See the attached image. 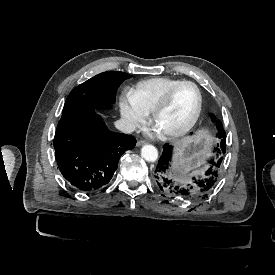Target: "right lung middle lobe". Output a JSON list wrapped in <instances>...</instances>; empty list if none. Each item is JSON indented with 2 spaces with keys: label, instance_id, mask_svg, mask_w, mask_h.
Here are the masks:
<instances>
[{
  "label": "right lung middle lobe",
  "instance_id": "dd1d6c3e",
  "mask_svg": "<svg viewBox=\"0 0 275 275\" xmlns=\"http://www.w3.org/2000/svg\"><path fill=\"white\" fill-rule=\"evenodd\" d=\"M131 76L124 72L100 73L74 88L66 99L64 110L98 109L115 102L116 89Z\"/></svg>",
  "mask_w": 275,
  "mask_h": 275
}]
</instances>
